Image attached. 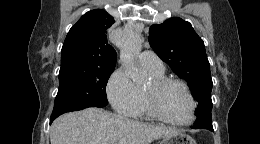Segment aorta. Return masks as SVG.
I'll return each instance as SVG.
<instances>
[{"mask_svg":"<svg viewBox=\"0 0 260 144\" xmlns=\"http://www.w3.org/2000/svg\"><path fill=\"white\" fill-rule=\"evenodd\" d=\"M142 47V37L137 31L123 33L120 40V60L126 74L134 81H142L144 76L136 67L135 60Z\"/></svg>","mask_w":260,"mask_h":144,"instance_id":"762f6f07","label":"aorta"}]
</instances>
